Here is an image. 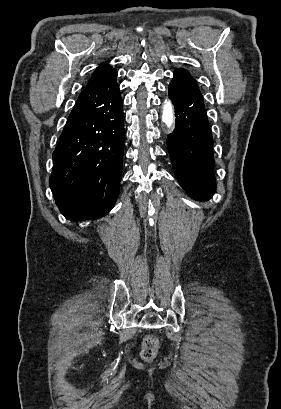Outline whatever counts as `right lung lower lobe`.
Segmentation results:
<instances>
[{
	"instance_id": "1",
	"label": "right lung lower lobe",
	"mask_w": 281,
	"mask_h": 409,
	"mask_svg": "<svg viewBox=\"0 0 281 409\" xmlns=\"http://www.w3.org/2000/svg\"><path fill=\"white\" fill-rule=\"evenodd\" d=\"M116 77L81 92L53 153L50 187L67 219L101 218L116 202L125 136Z\"/></svg>"
}]
</instances>
